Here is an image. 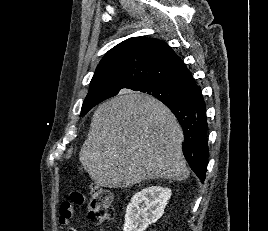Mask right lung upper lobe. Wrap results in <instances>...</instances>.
I'll use <instances>...</instances> for the list:
<instances>
[{"label": "right lung upper lobe", "instance_id": "1", "mask_svg": "<svg viewBox=\"0 0 268 231\" xmlns=\"http://www.w3.org/2000/svg\"><path fill=\"white\" fill-rule=\"evenodd\" d=\"M147 80L164 82L192 94L198 88L181 58L165 42L132 37L113 47L102 58L84 103H100L115 96L105 92L131 89Z\"/></svg>", "mask_w": 268, "mask_h": 231}]
</instances>
